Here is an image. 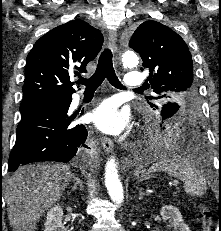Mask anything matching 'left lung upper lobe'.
<instances>
[{
	"label": "left lung upper lobe",
	"instance_id": "obj_1",
	"mask_svg": "<svg viewBox=\"0 0 221 231\" xmlns=\"http://www.w3.org/2000/svg\"><path fill=\"white\" fill-rule=\"evenodd\" d=\"M129 47L140 54L142 66L150 72L147 86L160 94L155 99H161L158 106H152L163 119L173 116L180 106L191 108L197 103L191 53L176 32L159 22L145 21L133 33Z\"/></svg>",
	"mask_w": 221,
	"mask_h": 231
}]
</instances>
